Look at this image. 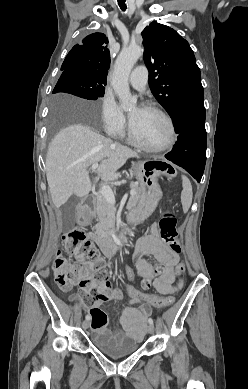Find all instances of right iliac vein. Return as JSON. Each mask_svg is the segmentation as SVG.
I'll use <instances>...</instances> for the list:
<instances>
[{
  "label": "right iliac vein",
  "instance_id": "1",
  "mask_svg": "<svg viewBox=\"0 0 248 389\" xmlns=\"http://www.w3.org/2000/svg\"><path fill=\"white\" fill-rule=\"evenodd\" d=\"M82 327L84 330H86L89 327V321L88 320L83 321Z\"/></svg>",
  "mask_w": 248,
  "mask_h": 389
}]
</instances>
